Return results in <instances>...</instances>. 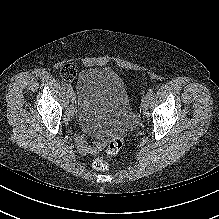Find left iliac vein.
Here are the masks:
<instances>
[{"label": "left iliac vein", "mask_w": 219, "mask_h": 219, "mask_svg": "<svg viewBox=\"0 0 219 219\" xmlns=\"http://www.w3.org/2000/svg\"><path fill=\"white\" fill-rule=\"evenodd\" d=\"M149 100L150 97L149 96H144L143 100H142V104H141V110L143 113H146L148 110V106H149Z\"/></svg>", "instance_id": "4c4485c4"}]
</instances>
